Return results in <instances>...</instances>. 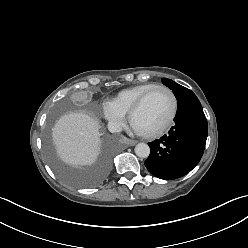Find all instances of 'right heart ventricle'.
<instances>
[{"label": "right heart ventricle", "mask_w": 248, "mask_h": 248, "mask_svg": "<svg viewBox=\"0 0 248 248\" xmlns=\"http://www.w3.org/2000/svg\"><path fill=\"white\" fill-rule=\"evenodd\" d=\"M155 86H157L155 83H144L123 89L111 100V103L118 111L126 115L140 96Z\"/></svg>", "instance_id": "e07e8e85"}]
</instances>
